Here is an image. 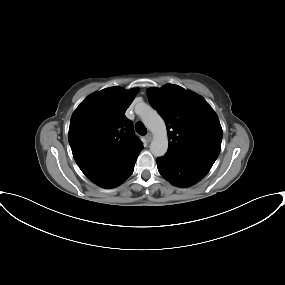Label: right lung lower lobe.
<instances>
[{
	"label": "right lung lower lobe",
	"mask_w": 285,
	"mask_h": 285,
	"mask_svg": "<svg viewBox=\"0 0 285 285\" xmlns=\"http://www.w3.org/2000/svg\"><path fill=\"white\" fill-rule=\"evenodd\" d=\"M138 155L139 153L135 155L129 162L124 164L116 173H114L106 180L98 183L97 185L103 188H113L120 185L133 173L134 164L136 162Z\"/></svg>",
	"instance_id": "98d812e1"
}]
</instances>
